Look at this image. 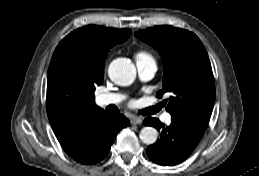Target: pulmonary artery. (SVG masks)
<instances>
[{
  "label": "pulmonary artery",
  "instance_id": "e3ab8cb5",
  "mask_svg": "<svg viewBox=\"0 0 259 176\" xmlns=\"http://www.w3.org/2000/svg\"><path fill=\"white\" fill-rule=\"evenodd\" d=\"M137 70L138 75L141 80L147 81L150 80L156 70L157 65L156 62L153 59H147V60H141L137 61ZM124 99V96L118 93H105L97 96V103L101 106L111 105V104H118L122 102ZM162 121L166 124H169L171 121V115L169 113H165L162 116Z\"/></svg>",
  "mask_w": 259,
  "mask_h": 176
}]
</instances>
